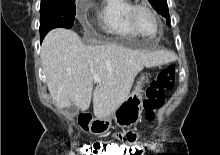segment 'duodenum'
Instances as JSON below:
<instances>
[{"label": "duodenum", "mask_w": 220, "mask_h": 155, "mask_svg": "<svg viewBox=\"0 0 220 155\" xmlns=\"http://www.w3.org/2000/svg\"><path fill=\"white\" fill-rule=\"evenodd\" d=\"M80 120L82 123H88L91 120V115L89 113H82Z\"/></svg>", "instance_id": "obj_1"}]
</instances>
